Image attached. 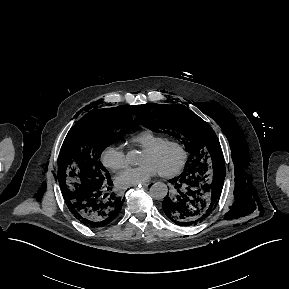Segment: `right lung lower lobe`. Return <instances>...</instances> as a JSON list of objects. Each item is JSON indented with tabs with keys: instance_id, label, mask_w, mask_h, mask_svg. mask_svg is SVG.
<instances>
[{
	"instance_id": "1",
	"label": "right lung lower lobe",
	"mask_w": 289,
	"mask_h": 289,
	"mask_svg": "<svg viewBox=\"0 0 289 289\" xmlns=\"http://www.w3.org/2000/svg\"><path fill=\"white\" fill-rule=\"evenodd\" d=\"M112 181L103 185L64 197L74 217L91 228L104 227L118 216L125 197L112 192Z\"/></svg>"
}]
</instances>
